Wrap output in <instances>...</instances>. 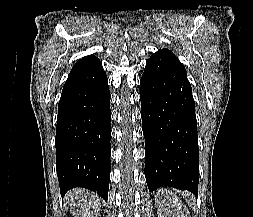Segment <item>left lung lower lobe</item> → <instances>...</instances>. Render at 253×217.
I'll list each match as a JSON object with an SVG mask.
<instances>
[{
    "mask_svg": "<svg viewBox=\"0 0 253 217\" xmlns=\"http://www.w3.org/2000/svg\"><path fill=\"white\" fill-rule=\"evenodd\" d=\"M140 99L149 191L171 186L196 194L197 121L184 66L170 56L154 53L141 78Z\"/></svg>",
    "mask_w": 253,
    "mask_h": 217,
    "instance_id": "obj_1",
    "label": "left lung lower lobe"
}]
</instances>
